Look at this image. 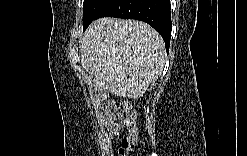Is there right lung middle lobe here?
Here are the masks:
<instances>
[{
	"mask_svg": "<svg viewBox=\"0 0 247 156\" xmlns=\"http://www.w3.org/2000/svg\"><path fill=\"white\" fill-rule=\"evenodd\" d=\"M108 0H84L83 4V29L95 19Z\"/></svg>",
	"mask_w": 247,
	"mask_h": 156,
	"instance_id": "obj_1",
	"label": "right lung middle lobe"
}]
</instances>
